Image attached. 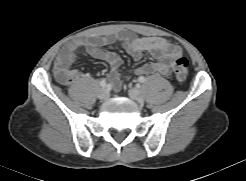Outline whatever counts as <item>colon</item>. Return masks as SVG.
Listing matches in <instances>:
<instances>
[{"label": "colon", "mask_w": 246, "mask_h": 181, "mask_svg": "<svg viewBox=\"0 0 246 181\" xmlns=\"http://www.w3.org/2000/svg\"><path fill=\"white\" fill-rule=\"evenodd\" d=\"M173 74L175 79L183 83L188 76V60L185 57H178L173 63ZM75 79L72 72H65L61 74V80L64 83H70Z\"/></svg>", "instance_id": "5ec220e1"}]
</instances>
